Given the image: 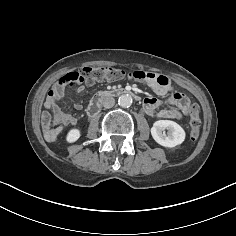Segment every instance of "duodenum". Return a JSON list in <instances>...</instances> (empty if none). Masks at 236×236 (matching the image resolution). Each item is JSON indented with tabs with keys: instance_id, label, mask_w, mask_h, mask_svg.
Wrapping results in <instances>:
<instances>
[{
	"instance_id": "1",
	"label": "duodenum",
	"mask_w": 236,
	"mask_h": 236,
	"mask_svg": "<svg viewBox=\"0 0 236 236\" xmlns=\"http://www.w3.org/2000/svg\"><path fill=\"white\" fill-rule=\"evenodd\" d=\"M125 94H129L134 99L139 100V96L137 94H135L129 88H116V89L102 90V91L98 92L91 100V102L87 108V115L89 117L96 115L97 112L99 111L100 105L104 99L111 97V96H120V95H125Z\"/></svg>"
}]
</instances>
